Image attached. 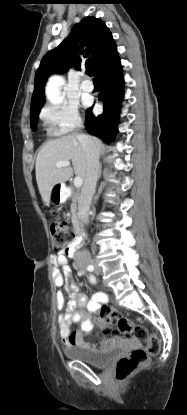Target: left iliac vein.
I'll use <instances>...</instances> for the list:
<instances>
[{
  "label": "left iliac vein",
  "mask_w": 187,
  "mask_h": 415,
  "mask_svg": "<svg viewBox=\"0 0 187 415\" xmlns=\"http://www.w3.org/2000/svg\"><path fill=\"white\" fill-rule=\"evenodd\" d=\"M95 273H96V274H99L100 272H98V271H95Z\"/></svg>",
  "instance_id": "obj_1"
}]
</instances>
